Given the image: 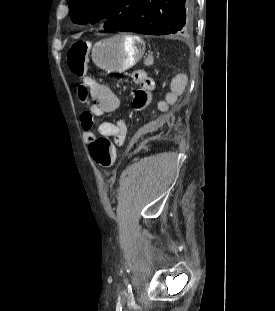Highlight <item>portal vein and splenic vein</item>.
I'll return each mask as SVG.
<instances>
[{"instance_id":"portal-vein-and-splenic-vein-1","label":"portal vein and splenic vein","mask_w":275,"mask_h":311,"mask_svg":"<svg viewBox=\"0 0 275 311\" xmlns=\"http://www.w3.org/2000/svg\"><path fill=\"white\" fill-rule=\"evenodd\" d=\"M152 63H153V57H152V55H149L148 58H147L146 65H151Z\"/></svg>"}]
</instances>
